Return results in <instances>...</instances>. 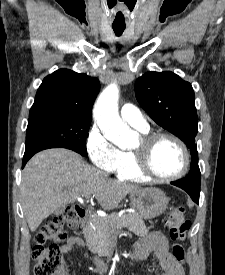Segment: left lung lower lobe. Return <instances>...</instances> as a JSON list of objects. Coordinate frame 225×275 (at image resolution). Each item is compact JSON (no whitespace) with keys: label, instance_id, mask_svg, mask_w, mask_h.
<instances>
[{"label":"left lung lower lobe","instance_id":"1","mask_svg":"<svg viewBox=\"0 0 225 275\" xmlns=\"http://www.w3.org/2000/svg\"><path fill=\"white\" fill-rule=\"evenodd\" d=\"M201 176L189 174L183 179L171 182V184L178 186L185 190L196 203H199L200 194V179Z\"/></svg>","mask_w":225,"mask_h":275}]
</instances>
